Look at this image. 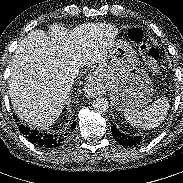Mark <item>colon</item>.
Wrapping results in <instances>:
<instances>
[{
	"mask_svg": "<svg viewBox=\"0 0 183 183\" xmlns=\"http://www.w3.org/2000/svg\"><path fill=\"white\" fill-rule=\"evenodd\" d=\"M128 36L132 41L139 43V49L142 56L151 68L157 72L159 70L158 63L161 56L159 49L142 42L143 32L139 28H131L128 31Z\"/></svg>",
	"mask_w": 183,
	"mask_h": 183,
	"instance_id": "1",
	"label": "colon"
}]
</instances>
